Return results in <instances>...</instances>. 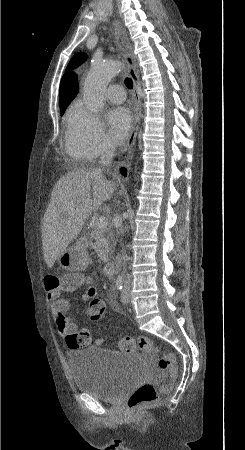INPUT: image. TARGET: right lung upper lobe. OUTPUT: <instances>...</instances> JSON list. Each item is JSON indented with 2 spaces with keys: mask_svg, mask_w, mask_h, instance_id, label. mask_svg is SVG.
I'll return each mask as SVG.
<instances>
[{
  "mask_svg": "<svg viewBox=\"0 0 245 450\" xmlns=\"http://www.w3.org/2000/svg\"><path fill=\"white\" fill-rule=\"evenodd\" d=\"M78 82L75 73L65 74L59 88L60 109L67 107L78 93Z\"/></svg>",
  "mask_w": 245,
  "mask_h": 450,
  "instance_id": "right-lung-upper-lobe-1",
  "label": "right lung upper lobe"
}]
</instances>
